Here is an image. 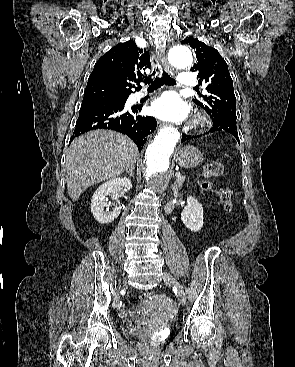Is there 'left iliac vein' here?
I'll use <instances>...</instances> for the list:
<instances>
[{"instance_id": "left-iliac-vein-1", "label": "left iliac vein", "mask_w": 295, "mask_h": 367, "mask_svg": "<svg viewBox=\"0 0 295 367\" xmlns=\"http://www.w3.org/2000/svg\"><path fill=\"white\" fill-rule=\"evenodd\" d=\"M163 279L164 281L169 282L176 289L179 301L182 305H184L186 303V296L184 289L182 285L179 283V281L174 276H172L170 273L167 272L164 273Z\"/></svg>"}]
</instances>
